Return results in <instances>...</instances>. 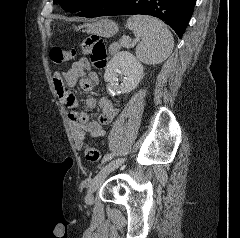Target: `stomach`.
Instances as JSON below:
<instances>
[{
	"label": "stomach",
	"instance_id": "0dacf381",
	"mask_svg": "<svg viewBox=\"0 0 240 238\" xmlns=\"http://www.w3.org/2000/svg\"><path fill=\"white\" fill-rule=\"evenodd\" d=\"M87 33L97 34L101 37H112L118 31V25L110 19H100L94 23L86 24Z\"/></svg>",
	"mask_w": 240,
	"mask_h": 238
}]
</instances>
